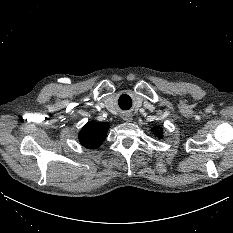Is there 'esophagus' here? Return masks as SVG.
Here are the masks:
<instances>
[{
  "label": "esophagus",
  "mask_w": 233,
  "mask_h": 233,
  "mask_svg": "<svg viewBox=\"0 0 233 233\" xmlns=\"http://www.w3.org/2000/svg\"><path fill=\"white\" fill-rule=\"evenodd\" d=\"M123 120L125 121H131L132 120V115L131 114H124L123 115Z\"/></svg>",
  "instance_id": "1"
}]
</instances>
